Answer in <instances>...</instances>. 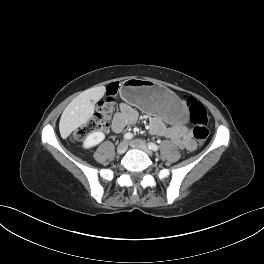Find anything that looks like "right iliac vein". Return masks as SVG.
I'll list each match as a JSON object with an SVG mask.
<instances>
[{
  "label": "right iliac vein",
  "instance_id": "right-iliac-vein-1",
  "mask_svg": "<svg viewBox=\"0 0 264 264\" xmlns=\"http://www.w3.org/2000/svg\"><path fill=\"white\" fill-rule=\"evenodd\" d=\"M127 148H128V144H127V142H126V141H122V142H120V144L117 146V153H118V154H123V153L126 152Z\"/></svg>",
  "mask_w": 264,
  "mask_h": 264
}]
</instances>
